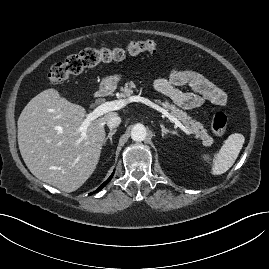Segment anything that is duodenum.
Returning a JSON list of instances; mask_svg holds the SVG:
<instances>
[{"label":"duodenum","instance_id":"1","mask_svg":"<svg viewBox=\"0 0 269 269\" xmlns=\"http://www.w3.org/2000/svg\"><path fill=\"white\" fill-rule=\"evenodd\" d=\"M107 93H108L107 88H105V87L100 88L96 94V100L102 101L104 99V97L107 95Z\"/></svg>","mask_w":269,"mask_h":269}]
</instances>
